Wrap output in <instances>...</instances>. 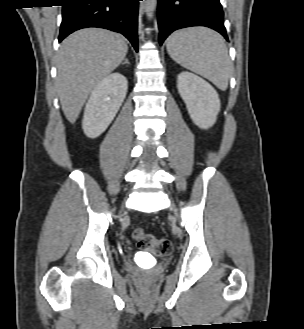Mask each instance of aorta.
<instances>
[{"instance_id": "aorta-1", "label": "aorta", "mask_w": 304, "mask_h": 329, "mask_svg": "<svg viewBox=\"0 0 304 329\" xmlns=\"http://www.w3.org/2000/svg\"><path fill=\"white\" fill-rule=\"evenodd\" d=\"M157 0H145V10L147 16L150 18L156 8Z\"/></svg>"}]
</instances>
